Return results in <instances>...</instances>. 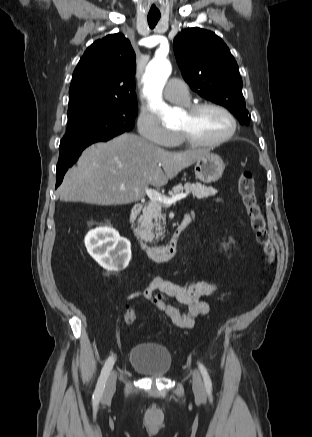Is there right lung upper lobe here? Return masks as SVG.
<instances>
[{
	"label": "right lung upper lobe",
	"instance_id": "cb5924a9",
	"mask_svg": "<svg viewBox=\"0 0 312 437\" xmlns=\"http://www.w3.org/2000/svg\"><path fill=\"white\" fill-rule=\"evenodd\" d=\"M135 53L122 34L95 41L72 76L69 107L88 103H134Z\"/></svg>",
	"mask_w": 312,
	"mask_h": 437
}]
</instances>
